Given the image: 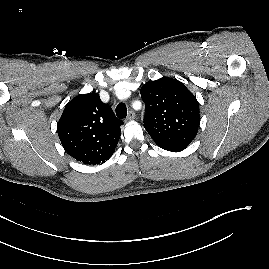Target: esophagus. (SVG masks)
I'll list each match as a JSON object with an SVG mask.
<instances>
[{
	"instance_id": "esophagus-1",
	"label": "esophagus",
	"mask_w": 269,
	"mask_h": 269,
	"mask_svg": "<svg viewBox=\"0 0 269 269\" xmlns=\"http://www.w3.org/2000/svg\"><path fill=\"white\" fill-rule=\"evenodd\" d=\"M134 118H135V113L132 110H130L128 112L127 120H133Z\"/></svg>"
}]
</instances>
